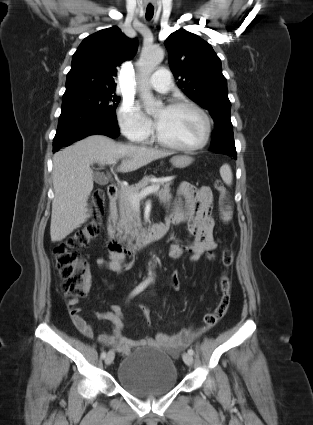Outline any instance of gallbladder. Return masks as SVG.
Instances as JSON below:
<instances>
[{"instance_id":"bac80fb5","label":"gallbladder","mask_w":313,"mask_h":425,"mask_svg":"<svg viewBox=\"0 0 313 425\" xmlns=\"http://www.w3.org/2000/svg\"><path fill=\"white\" fill-rule=\"evenodd\" d=\"M94 181L100 185L106 184V178L103 174L95 173L94 174Z\"/></svg>"}]
</instances>
